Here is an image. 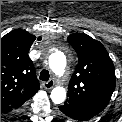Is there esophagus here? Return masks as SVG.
I'll list each match as a JSON object with an SVG mask.
<instances>
[{
    "label": "esophagus",
    "instance_id": "34e87169",
    "mask_svg": "<svg viewBox=\"0 0 122 122\" xmlns=\"http://www.w3.org/2000/svg\"><path fill=\"white\" fill-rule=\"evenodd\" d=\"M54 84H55L54 80H49L48 82L43 83V87L45 89H51L54 87Z\"/></svg>",
    "mask_w": 122,
    "mask_h": 122
}]
</instances>
